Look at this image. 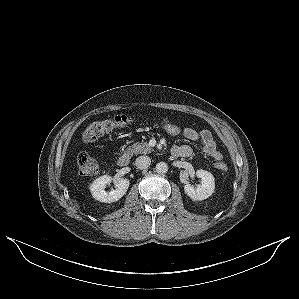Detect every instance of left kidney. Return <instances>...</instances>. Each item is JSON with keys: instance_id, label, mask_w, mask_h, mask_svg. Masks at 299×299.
<instances>
[{"instance_id": "left-kidney-1", "label": "left kidney", "mask_w": 299, "mask_h": 299, "mask_svg": "<svg viewBox=\"0 0 299 299\" xmlns=\"http://www.w3.org/2000/svg\"><path fill=\"white\" fill-rule=\"evenodd\" d=\"M197 177L201 178L202 183L196 188L192 187L190 184L184 186L185 193L193 200H204L210 197L215 189V181L213 175L205 170H197Z\"/></svg>"}]
</instances>
